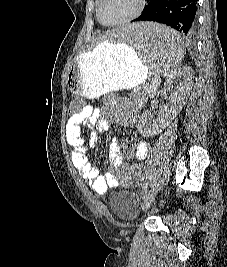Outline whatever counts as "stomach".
Masks as SVG:
<instances>
[{"label":"stomach","instance_id":"obj_1","mask_svg":"<svg viewBox=\"0 0 227 267\" xmlns=\"http://www.w3.org/2000/svg\"><path fill=\"white\" fill-rule=\"evenodd\" d=\"M151 63L139 59L135 47L106 41L78 55L67 73L70 92L96 98L108 91L138 86L147 76Z\"/></svg>","mask_w":227,"mask_h":267}]
</instances>
